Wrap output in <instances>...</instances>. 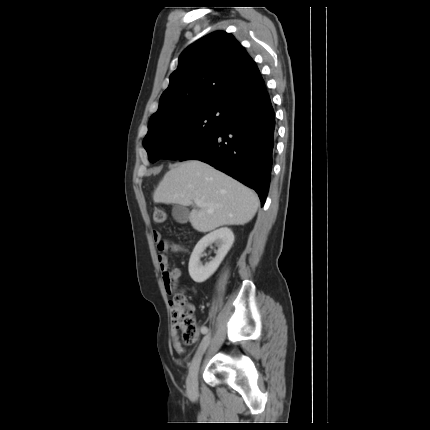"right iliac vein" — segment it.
Segmentation results:
<instances>
[{
  "label": "right iliac vein",
  "mask_w": 430,
  "mask_h": 430,
  "mask_svg": "<svg viewBox=\"0 0 430 430\" xmlns=\"http://www.w3.org/2000/svg\"><path fill=\"white\" fill-rule=\"evenodd\" d=\"M211 342V337L206 335L200 343L196 354L194 355L192 362L189 367V372L187 376V391L190 397L194 398L198 395V372L202 357Z\"/></svg>",
  "instance_id": "1"
}]
</instances>
